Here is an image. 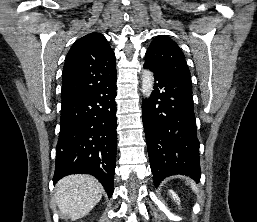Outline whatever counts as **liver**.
I'll list each match as a JSON object with an SVG mask.
<instances>
[{"label": "liver", "instance_id": "1", "mask_svg": "<svg viewBox=\"0 0 257 222\" xmlns=\"http://www.w3.org/2000/svg\"><path fill=\"white\" fill-rule=\"evenodd\" d=\"M101 197L102 186L90 175H70L56 185L55 199L60 213L72 220L87 215Z\"/></svg>", "mask_w": 257, "mask_h": 222}]
</instances>
